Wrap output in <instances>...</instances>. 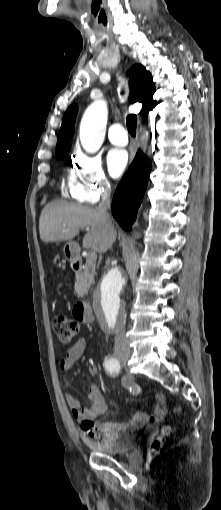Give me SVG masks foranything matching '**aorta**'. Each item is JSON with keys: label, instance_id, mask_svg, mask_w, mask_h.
Wrapping results in <instances>:
<instances>
[{"label": "aorta", "instance_id": "obj_1", "mask_svg": "<svg viewBox=\"0 0 221 510\" xmlns=\"http://www.w3.org/2000/svg\"><path fill=\"white\" fill-rule=\"evenodd\" d=\"M108 109L104 101L93 102L85 111L80 123V141L84 150L95 153L101 147L106 131ZM126 281L117 267L102 278L94 294L95 309L108 329H115L124 319L122 292Z\"/></svg>", "mask_w": 221, "mask_h": 510}]
</instances>
